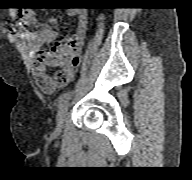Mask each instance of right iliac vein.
<instances>
[{
  "mask_svg": "<svg viewBox=\"0 0 192 180\" xmlns=\"http://www.w3.org/2000/svg\"><path fill=\"white\" fill-rule=\"evenodd\" d=\"M68 110V103H65L62 107L59 108L57 117H56V122H57V129L61 130L64 124V119L66 116Z\"/></svg>",
  "mask_w": 192,
  "mask_h": 180,
  "instance_id": "63e3f726",
  "label": "right iliac vein"
}]
</instances>
